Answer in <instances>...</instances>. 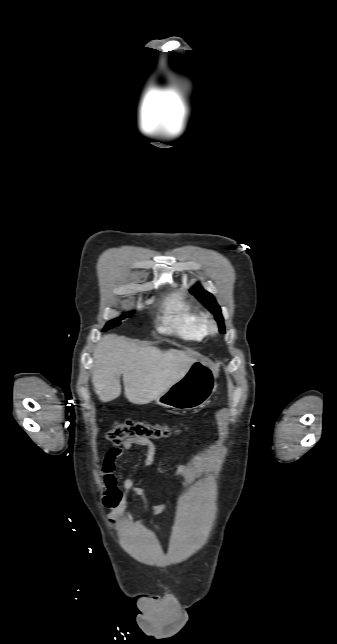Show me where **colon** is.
<instances>
[{
  "mask_svg": "<svg viewBox=\"0 0 337 644\" xmlns=\"http://www.w3.org/2000/svg\"><path fill=\"white\" fill-rule=\"evenodd\" d=\"M172 433V428L165 424L128 420L115 425L108 432V439L111 443L119 445L130 438L161 439L170 436Z\"/></svg>",
  "mask_w": 337,
  "mask_h": 644,
  "instance_id": "colon-1",
  "label": "colon"
}]
</instances>
